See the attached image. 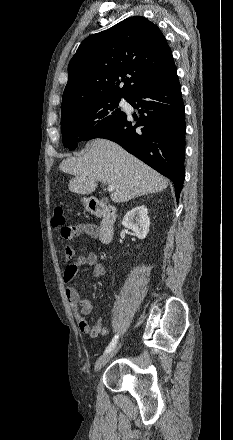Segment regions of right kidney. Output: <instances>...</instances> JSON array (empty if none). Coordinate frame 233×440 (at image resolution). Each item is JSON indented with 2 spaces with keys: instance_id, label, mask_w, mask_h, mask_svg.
I'll return each instance as SVG.
<instances>
[{
  "instance_id": "obj_1",
  "label": "right kidney",
  "mask_w": 233,
  "mask_h": 440,
  "mask_svg": "<svg viewBox=\"0 0 233 440\" xmlns=\"http://www.w3.org/2000/svg\"><path fill=\"white\" fill-rule=\"evenodd\" d=\"M122 225L131 229L138 239H145L150 227L148 209L144 205L133 208L124 216Z\"/></svg>"
}]
</instances>
